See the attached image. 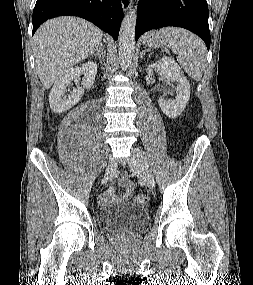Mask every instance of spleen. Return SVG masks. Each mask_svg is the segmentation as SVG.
I'll return each instance as SVG.
<instances>
[{"label":"spleen","instance_id":"1","mask_svg":"<svg viewBox=\"0 0 253 285\" xmlns=\"http://www.w3.org/2000/svg\"><path fill=\"white\" fill-rule=\"evenodd\" d=\"M160 32L168 39L171 50L177 54V61L194 80L202 78L206 64V47L203 41L189 31L166 27Z\"/></svg>","mask_w":253,"mask_h":285}]
</instances>
